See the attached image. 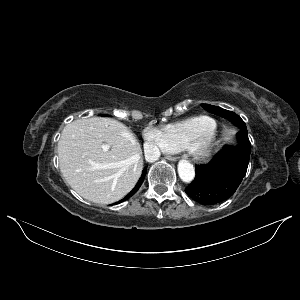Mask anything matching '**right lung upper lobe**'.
Segmentation results:
<instances>
[{"label": "right lung upper lobe", "mask_w": 300, "mask_h": 300, "mask_svg": "<svg viewBox=\"0 0 300 300\" xmlns=\"http://www.w3.org/2000/svg\"><path fill=\"white\" fill-rule=\"evenodd\" d=\"M138 185H139V184H138ZM138 185H136L135 188H134V190L131 192L132 195H134V194L137 192V190H138V188H139Z\"/></svg>", "instance_id": "1"}]
</instances>
